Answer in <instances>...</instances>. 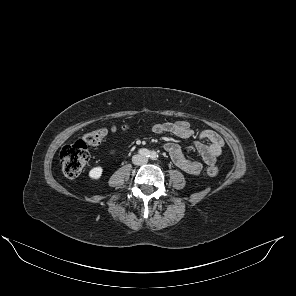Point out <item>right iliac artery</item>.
<instances>
[{
    "label": "right iliac artery",
    "mask_w": 296,
    "mask_h": 296,
    "mask_svg": "<svg viewBox=\"0 0 296 296\" xmlns=\"http://www.w3.org/2000/svg\"><path fill=\"white\" fill-rule=\"evenodd\" d=\"M139 154H141L142 156H146V157H150V154H151V152L149 151V150H147V149H140L139 151Z\"/></svg>",
    "instance_id": "right-iliac-artery-1"
}]
</instances>
